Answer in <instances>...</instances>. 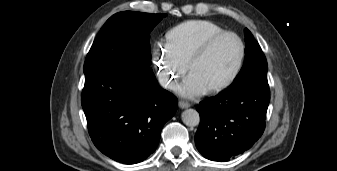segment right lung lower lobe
<instances>
[{
	"mask_svg": "<svg viewBox=\"0 0 337 171\" xmlns=\"http://www.w3.org/2000/svg\"><path fill=\"white\" fill-rule=\"evenodd\" d=\"M84 73L81 100L94 145L121 163L147 159L177 110V98L158 85L151 68L110 62Z\"/></svg>",
	"mask_w": 337,
	"mask_h": 171,
	"instance_id": "1",
	"label": "right lung lower lobe"
}]
</instances>
